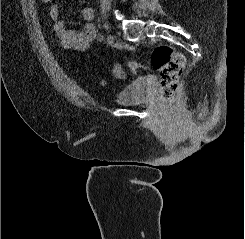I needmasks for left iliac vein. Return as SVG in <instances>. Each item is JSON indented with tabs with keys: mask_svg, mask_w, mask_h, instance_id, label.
I'll return each mask as SVG.
<instances>
[{
	"mask_svg": "<svg viewBox=\"0 0 245 239\" xmlns=\"http://www.w3.org/2000/svg\"><path fill=\"white\" fill-rule=\"evenodd\" d=\"M107 44L109 46H112L114 44V37H113L112 34H108V36H107Z\"/></svg>",
	"mask_w": 245,
	"mask_h": 239,
	"instance_id": "4c4485c4",
	"label": "left iliac vein"
}]
</instances>
